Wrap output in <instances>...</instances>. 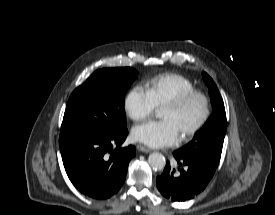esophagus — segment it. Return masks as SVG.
<instances>
[{"mask_svg": "<svg viewBox=\"0 0 275 215\" xmlns=\"http://www.w3.org/2000/svg\"><path fill=\"white\" fill-rule=\"evenodd\" d=\"M137 149L140 151V152H143V153H149L151 150L144 146V145H141V144H138L137 145Z\"/></svg>", "mask_w": 275, "mask_h": 215, "instance_id": "obj_1", "label": "esophagus"}]
</instances>
